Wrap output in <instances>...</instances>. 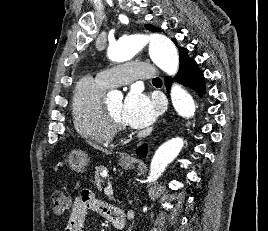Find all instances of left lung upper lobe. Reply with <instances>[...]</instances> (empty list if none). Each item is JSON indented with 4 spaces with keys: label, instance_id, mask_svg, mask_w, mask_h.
<instances>
[{
    "label": "left lung upper lobe",
    "instance_id": "left-lung-upper-lobe-1",
    "mask_svg": "<svg viewBox=\"0 0 268 231\" xmlns=\"http://www.w3.org/2000/svg\"><path fill=\"white\" fill-rule=\"evenodd\" d=\"M146 29L150 30V31H155V32H158V31H162L161 29L153 26V25H150V24H147L145 25ZM173 42L176 44V39L175 38H172ZM178 49H179V57H180V65L183 64V62L189 58L188 56V50L186 48H183V47H180L178 46Z\"/></svg>",
    "mask_w": 268,
    "mask_h": 231
}]
</instances>
